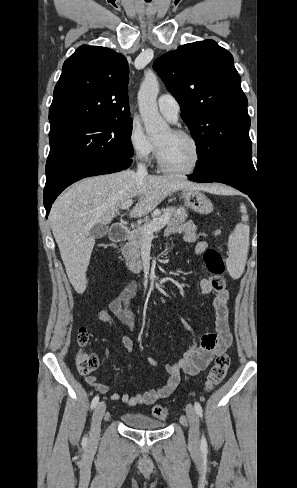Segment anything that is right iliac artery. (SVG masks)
Instances as JSON below:
<instances>
[{"label": "right iliac artery", "mask_w": 297, "mask_h": 488, "mask_svg": "<svg viewBox=\"0 0 297 488\" xmlns=\"http://www.w3.org/2000/svg\"><path fill=\"white\" fill-rule=\"evenodd\" d=\"M98 401H99V396H98V395H96V396L93 398L92 402H91V409H93V408H94V407L97 405ZM85 440H86V438H84V441H85Z\"/></svg>", "instance_id": "82829eb1"}]
</instances>
